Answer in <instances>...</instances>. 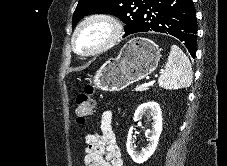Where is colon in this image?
Segmentation results:
<instances>
[{"mask_svg": "<svg viewBox=\"0 0 227 166\" xmlns=\"http://www.w3.org/2000/svg\"><path fill=\"white\" fill-rule=\"evenodd\" d=\"M93 92V86L86 85L84 90L76 97L75 114L79 122H83L84 119L92 115L95 110V102L92 97Z\"/></svg>", "mask_w": 227, "mask_h": 166, "instance_id": "obj_1", "label": "colon"}]
</instances>
